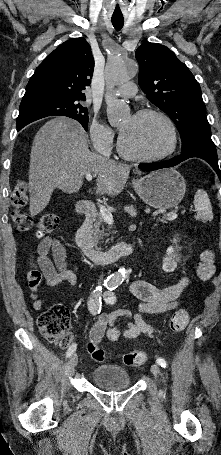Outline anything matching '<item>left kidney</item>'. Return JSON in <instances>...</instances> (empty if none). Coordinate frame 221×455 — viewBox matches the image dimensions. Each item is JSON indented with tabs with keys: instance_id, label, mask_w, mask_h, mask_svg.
Listing matches in <instances>:
<instances>
[{
	"instance_id": "obj_1",
	"label": "left kidney",
	"mask_w": 221,
	"mask_h": 455,
	"mask_svg": "<svg viewBox=\"0 0 221 455\" xmlns=\"http://www.w3.org/2000/svg\"><path fill=\"white\" fill-rule=\"evenodd\" d=\"M177 240L174 239L173 243H176ZM180 261V256L177 252V250L174 247H170L167 250V255L163 259V270L165 272H173L177 268V263Z\"/></svg>"
}]
</instances>
